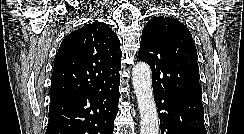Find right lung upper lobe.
I'll use <instances>...</instances> for the list:
<instances>
[{
  "mask_svg": "<svg viewBox=\"0 0 244 134\" xmlns=\"http://www.w3.org/2000/svg\"><path fill=\"white\" fill-rule=\"evenodd\" d=\"M120 41L103 22L86 24L62 41L54 58L50 100L101 89L119 77Z\"/></svg>",
  "mask_w": 244,
  "mask_h": 134,
  "instance_id": "obj_1",
  "label": "right lung upper lobe"
}]
</instances>
